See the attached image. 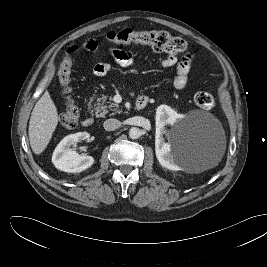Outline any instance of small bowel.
Masks as SVG:
<instances>
[{
	"instance_id": "obj_1",
	"label": "small bowel",
	"mask_w": 267,
	"mask_h": 267,
	"mask_svg": "<svg viewBox=\"0 0 267 267\" xmlns=\"http://www.w3.org/2000/svg\"><path fill=\"white\" fill-rule=\"evenodd\" d=\"M98 44L95 39H87L82 44L71 45L67 53H76L80 50L95 51ZM110 60H104L96 63L93 67V73L97 77L105 76L111 69L112 62L121 67H132L135 64L134 57L131 52L122 49H110L108 52ZM160 67L171 68L176 66V74L173 79V87L177 90L183 89L188 82V74L191 67L190 58H185L178 62L177 57L169 55L160 61Z\"/></svg>"
}]
</instances>
